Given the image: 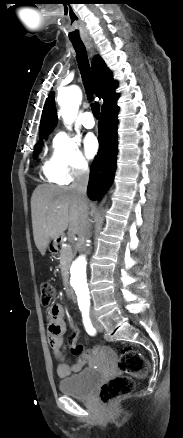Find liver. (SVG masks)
Here are the masks:
<instances>
[{
  "label": "liver",
  "instance_id": "1",
  "mask_svg": "<svg viewBox=\"0 0 183 438\" xmlns=\"http://www.w3.org/2000/svg\"><path fill=\"white\" fill-rule=\"evenodd\" d=\"M31 216L35 245L44 255L50 239L59 238L66 229L81 234L85 205L71 188L43 184L32 194Z\"/></svg>",
  "mask_w": 183,
  "mask_h": 438
}]
</instances>
